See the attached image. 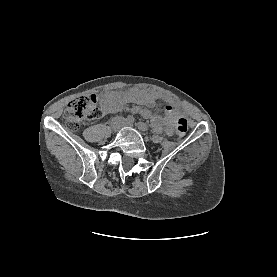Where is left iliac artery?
<instances>
[{"label":"left iliac artery","instance_id":"obj_1","mask_svg":"<svg viewBox=\"0 0 277 277\" xmlns=\"http://www.w3.org/2000/svg\"><path fill=\"white\" fill-rule=\"evenodd\" d=\"M136 125L140 130L145 131V132L148 131L147 125L143 122H138Z\"/></svg>","mask_w":277,"mask_h":277}]
</instances>
